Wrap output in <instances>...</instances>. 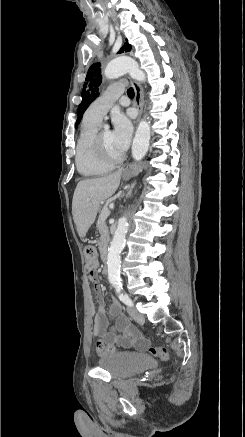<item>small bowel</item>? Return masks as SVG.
<instances>
[{
    "label": "small bowel",
    "mask_w": 245,
    "mask_h": 437,
    "mask_svg": "<svg viewBox=\"0 0 245 437\" xmlns=\"http://www.w3.org/2000/svg\"><path fill=\"white\" fill-rule=\"evenodd\" d=\"M89 281L94 285V293L98 303L93 320V333L110 343L120 346L144 349L148 342L131 326L129 319L122 313L119 302L112 299L109 306L105 303L104 292L96 273L90 274ZM108 315L116 317L114 326H110Z\"/></svg>",
    "instance_id": "1"
}]
</instances>
